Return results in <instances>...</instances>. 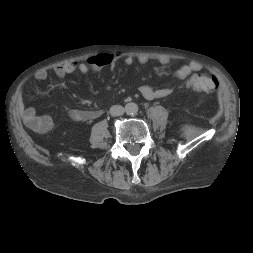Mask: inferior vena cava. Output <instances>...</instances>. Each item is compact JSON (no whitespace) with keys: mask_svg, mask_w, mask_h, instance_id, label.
I'll list each match as a JSON object with an SVG mask.
<instances>
[{"mask_svg":"<svg viewBox=\"0 0 253 253\" xmlns=\"http://www.w3.org/2000/svg\"><path fill=\"white\" fill-rule=\"evenodd\" d=\"M125 112V108L122 107L121 105H113L110 108V114L112 116H120L123 115Z\"/></svg>","mask_w":253,"mask_h":253,"instance_id":"1","label":"inferior vena cava"}]
</instances>
